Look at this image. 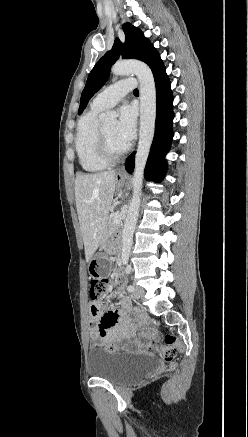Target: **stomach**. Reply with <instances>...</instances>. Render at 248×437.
<instances>
[{"label": "stomach", "mask_w": 248, "mask_h": 437, "mask_svg": "<svg viewBox=\"0 0 248 437\" xmlns=\"http://www.w3.org/2000/svg\"><path fill=\"white\" fill-rule=\"evenodd\" d=\"M125 179L122 177H116V183L118 186L123 185ZM112 262H109L108 256H105L103 250H98L96 256L90 261L88 270L91 273L92 279H107L108 271H112Z\"/></svg>", "instance_id": "stomach-1"}]
</instances>
